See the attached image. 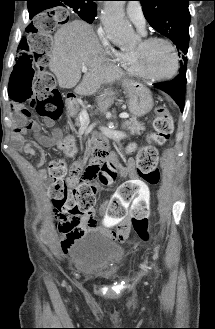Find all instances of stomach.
Segmentation results:
<instances>
[{
  "label": "stomach",
  "mask_w": 215,
  "mask_h": 329,
  "mask_svg": "<svg viewBox=\"0 0 215 329\" xmlns=\"http://www.w3.org/2000/svg\"><path fill=\"white\" fill-rule=\"evenodd\" d=\"M124 90L128 97V108L134 117H142L149 113L153 108V98L150 90L142 84L127 82L124 84ZM68 112L75 110L74 103L68 102Z\"/></svg>",
  "instance_id": "stomach-1"
}]
</instances>
